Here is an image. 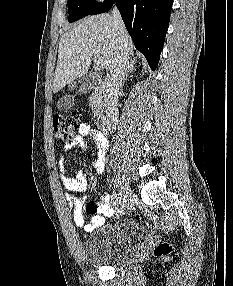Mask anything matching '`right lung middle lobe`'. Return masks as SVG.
<instances>
[{
  "mask_svg": "<svg viewBox=\"0 0 233 286\" xmlns=\"http://www.w3.org/2000/svg\"><path fill=\"white\" fill-rule=\"evenodd\" d=\"M99 3L92 0H68L69 22L77 21L90 15Z\"/></svg>",
  "mask_w": 233,
  "mask_h": 286,
  "instance_id": "1",
  "label": "right lung middle lobe"
}]
</instances>
